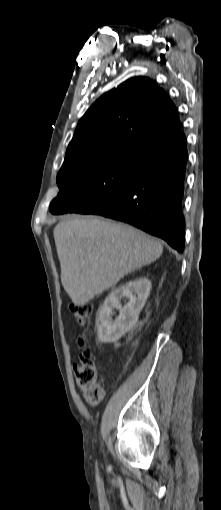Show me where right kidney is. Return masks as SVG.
Returning <instances> with one entry per match:
<instances>
[{
  "mask_svg": "<svg viewBox=\"0 0 221 510\" xmlns=\"http://www.w3.org/2000/svg\"><path fill=\"white\" fill-rule=\"evenodd\" d=\"M151 282L140 277L126 285L115 288L105 299L98 312L96 327L101 343H113L119 340L137 323L139 313L150 293ZM127 297L129 302L123 307L120 300ZM119 310L118 317L112 319V310Z\"/></svg>",
  "mask_w": 221,
  "mask_h": 510,
  "instance_id": "obj_1",
  "label": "right kidney"
}]
</instances>
